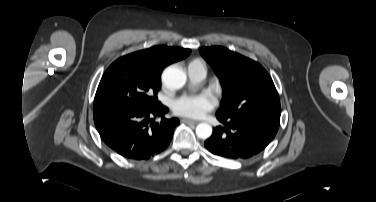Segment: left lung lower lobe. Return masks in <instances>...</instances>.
I'll return each mask as SVG.
<instances>
[{"mask_svg": "<svg viewBox=\"0 0 376 202\" xmlns=\"http://www.w3.org/2000/svg\"><path fill=\"white\" fill-rule=\"evenodd\" d=\"M216 117L225 127L214 128L204 145L212 154L229 159H247L262 152L279 128V124L256 117Z\"/></svg>", "mask_w": 376, "mask_h": 202, "instance_id": "0a47b994", "label": "left lung lower lobe"}]
</instances>
